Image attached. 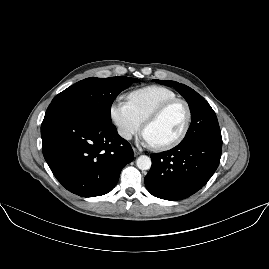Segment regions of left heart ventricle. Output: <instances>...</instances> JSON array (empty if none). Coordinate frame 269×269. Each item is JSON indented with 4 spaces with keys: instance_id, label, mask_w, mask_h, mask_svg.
<instances>
[{
    "instance_id": "b2bd125f",
    "label": "left heart ventricle",
    "mask_w": 269,
    "mask_h": 269,
    "mask_svg": "<svg viewBox=\"0 0 269 269\" xmlns=\"http://www.w3.org/2000/svg\"><path fill=\"white\" fill-rule=\"evenodd\" d=\"M185 120L186 112L183 105L175 104L147 127L145 138L150 144L164 145L181 133Z\"/></svg>"
}]
</instances>
